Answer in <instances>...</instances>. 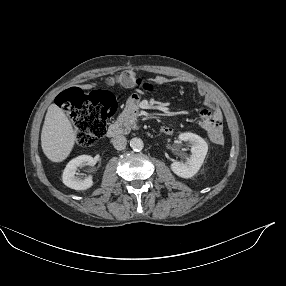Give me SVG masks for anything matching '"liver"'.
Instances as JSON below:
<instances>
[{
	"label": "liver",
	"mask_w": 286,
	"mask_h": 286,
	"mask_svg": "<svg viewBox=\"0 0 286 286\" xmlns=\"http://www.w3.org/2000/svg\"><path fill=\"white\" fill-rule=\"evenodd\" d=\"M76 131L63 110L56 104L48 107L41 133L42 150L52 162H62L71 153Z\"/></svg>",
	"instance_id": "6515ba94"
}]
</instances>
